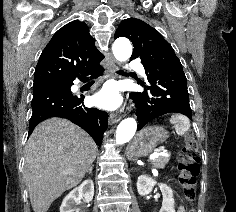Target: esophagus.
<instances>
[{
	"mask_svg": "<svg viewBox=\"0 0 236 212\" xmlns=\"http://www.w3.org/2000/svg\"><path fill=\"white\" fill-rule=\"evenodd\" d=\"M117 69H118L117 62L115 61V59L110 58L108 71L110 72V74H113L115 72V70H117ZM119 120H120V117L117 114L111 113L109 115V123L110 124L116 123Z\"/></svg>",
	"mask_w": 236,
	"mask_h": 212,
	"instance_id": "obj_1",
	"label": "esophagus"
}]
</instances>
